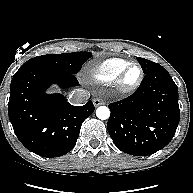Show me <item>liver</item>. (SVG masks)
<instances>
[{"instance_id":"1","label":"liver","mask_w":193,"mask_h":193,"mask_svg":"<svg viewBox=\"0 0 193 193\" xmlns=\"http://www.w3.org/2000/svg\"><path fill=\"white\" fill-rule=\"evenodd\" d=\"M54 91H57V89H53V90H51L50 92H54Z\"/></svg>"}]
</instances>
